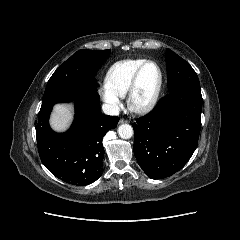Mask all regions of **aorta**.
Returning a JSON list of instances; mask_svg holds the SVG:
<instances>
[{
	"label": "aorta",
	"mask_w": 240,
	"mask_h": 240,
	"mask_svg": "<svg viewBox=\"0 0 240 240\" xmlns=\"http://www.w3.org/2000/svg\"><path fill=\"white\" fill-rule=\"evenodd\" d=\"M118 134L122 139H130L133 136V128L129 124H121L118 127Z\"/></svg>",
	"instance_id": "aorta-1"
}]
</instances>
